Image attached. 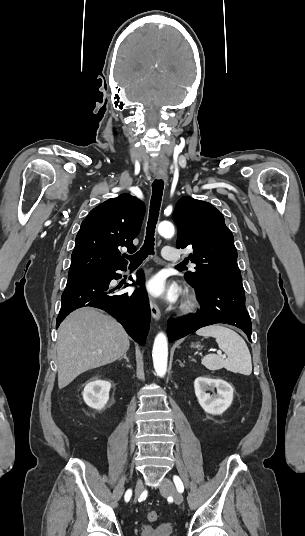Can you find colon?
Masks as SVG:
<instances>
[{"instance_id": "5ec220e1", "label": "colon", "mask_w": 305, "mask_h": 536, "mask_svg": "<svg viewBox=\"0 0 305 536\" xmlns=\"http://www.w3.org/2000/svg\"><path fill=\"white\" fill-rule=\"evenodd\" d=\"M159 518V515L157 512L155 511H151L148 513L147 515V519L150 521V522H154V521H157Z\"/></svg>"}]
</instances>
